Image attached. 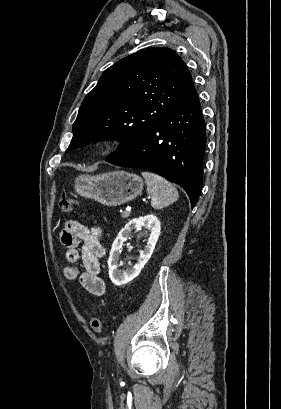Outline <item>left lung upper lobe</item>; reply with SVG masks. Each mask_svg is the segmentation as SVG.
I'll return each instance as SVG.
<instances>
[{
	"mask_svg": "<svg viewBox=\"0 0 281 409\" xmlns=\"http://www.w3.org/2000/svg\"><path fill=\"white\" fill-rule=\"evenodd\" d=\"M194 85L182 59L171 49L151 47L109 67L82 102L69 152L95 140L117 139L113 160L140 140Z\"/></svg>",
	"mask_w": 281,
	"mask_h": 409,
	"instance_id": "5c2ea615",
	"label": "left lung upper lobe"
}]
</instances>
